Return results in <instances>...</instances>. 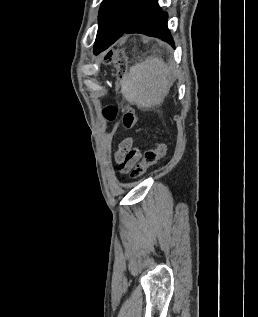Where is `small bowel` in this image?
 I'll list each match as a JSON object with an SVG mask.
<instances>
[{"instance_id": "1", "label": "small bowel", "mask_w": 258, "mask_h": 317, "mask_svg": "<svg viewBox=\"0 0 258 317\" xmlns=\"http://www.w3.org/2000/svg\"><path fill=\"white\" fill-rule=\"evenodd\" d=\"M141 151L134 146L132 138H124L120 141L114 154V161L119 166L122 174L127 173L140 159Z\"/></svg>"}]
</instances>
